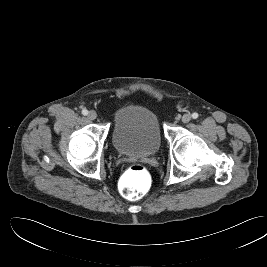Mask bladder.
<instances>
[{"label": "bladder", "instance_id": "1", "mask_svg": "<svg viewBox=\"0 0 267 267\" xmlns=\"http://www.w3.org/2000/svg\"><path fill=\"white\" fill-rule=\"evenodd\" d=\"M111 141L122 155L147 157L155 154L162 143L156 113L143 105L123 107L114 115Z\"/></svg>", "mask_w": 267, "mask_h": 267}]
</instances>
